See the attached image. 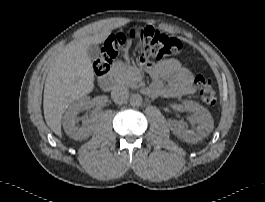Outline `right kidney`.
Here are the masks:
<instances>
[{"mask_svg": "<svg viewBox=\"0 0 265 202\" xmlns=\"http://www.w3.org/2000/svg\"><path fill=\"white\" fill-rule=\"evenodd\" d=\"M90 104L89 97H83L74 101L66 110L63 117V128L66 134L74 140H86L96 129L102 112L99 110L93 111L86 119L82 121L83 125H76L77 115L88 108Z\"/></svg>", "mask_w": 265, "mask_h": 202, "instance_id": "obj_1", "label": "right kidney"}]
</instances>
